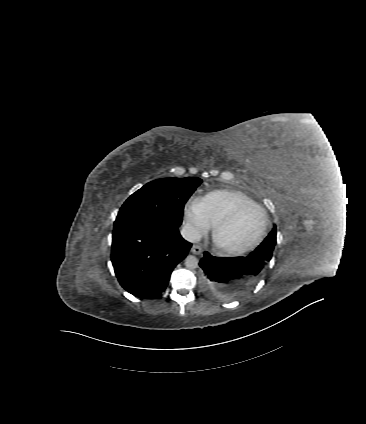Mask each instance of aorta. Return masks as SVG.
Wrapping results in <instances>:
<instances>
[{"label":"aorta","mask_w":366,"mask_h":424,"mask_svg":"<svg viewBox=\"0 0 366 424\" xmlns=\"http://www.w3.org/2000/svg\"><path fill=\"white\" fill-rule=\"evenodd\" d=\"M198 262H199V260L195 256L188 255L185 259V266L188 269L193 270V269H196L198 267Z\"/></svg>","instance_id":"aorta-1"}]
</instances>
